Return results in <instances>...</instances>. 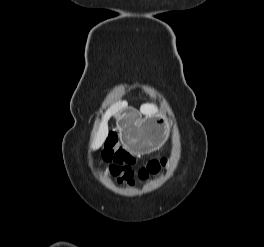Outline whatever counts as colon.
I'll list each match as a JSON object with an SVG mask.
<instances>
[{
    "mask_svg": "<svg viewBox=\"0 0 264 247\" xmlns=\"http://www.w3.org/2000/svg\"><path fill=\"white\" fill-rule=\"evenodd\" d=\"M104 156L107 160L113 162L111 172L118 176L120 181L129 183L133 181L135 173L132 171L131 165L135 158L118 144V138L115 134L109 135ZM165 163V158L153 159L138 170L137 176L140 179H146L149 175L157 173Z\"/></svg>",
    "mask_w": 264,
    "mask_h": 247,
    "instance_id": "obj_1",
    "label": "colon"
}]
</instances>
